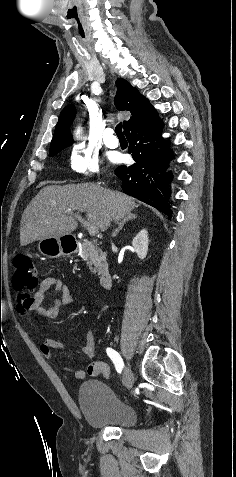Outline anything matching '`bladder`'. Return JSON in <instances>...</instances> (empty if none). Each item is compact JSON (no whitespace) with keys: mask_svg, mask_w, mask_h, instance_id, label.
<instances>
[{"mask_svg":"<svg viewBox=\"0 0 236 477\" xmlns=\"http://www.w3.org/2000/svg\"><path fill=\"white\" fill-rule=\"evenodd\" d=\"M78 402L86 421L95 427H133L137 422V409L120 399L104 381H84L78 391Z\"/></svg>","mask_w":236,"mask_h":477,"instance_id":"31cf9c89","label":"bladder"}]
</instances>
